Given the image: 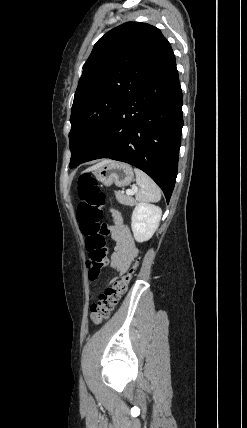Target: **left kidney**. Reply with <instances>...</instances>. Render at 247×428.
I'll list each match as a JSON object with an SVG mask.
<instances>
[{
	"instance_id": "obj_1",
	"label": "left kidney",
	"mask_w": 247,
	"mask_h": 428,
	"mask_svg": "<svg viewBox=\"0 0 247 428\" xmlns=\"http://www.w3.org/2000/svg\"><path fill=\"white\" fill-rule=\"evenodd\" d=\"M162 210L156 205L138 203L133 210L131 228L137 242L148 241L159 226Z\"/></svg>"
}]
</instances>
